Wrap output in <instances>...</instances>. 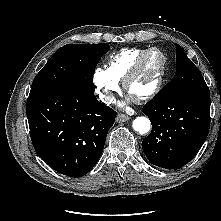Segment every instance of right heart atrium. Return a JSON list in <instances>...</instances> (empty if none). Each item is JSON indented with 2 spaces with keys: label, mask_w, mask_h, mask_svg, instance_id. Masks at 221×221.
I'll use <instances>...</instances> for the list:
<instances>
[{
  "label": "right heart atrium",
  "mask_w": 221,
  "mask_h": 221,
  "mask_svg": "<svg viewBox=\"0 0 221 221\" xmlns=\"http://www.w3.org/2000/svg\"><path fill=\"white\" fill-rule=\"evenodd\" d=\"M93 83L99 98L106 104L113 101L114 93L119 90V80H117L108 68L98 67L93 74Z\"/></svg>",
  "instance_id": "obj_1"
}]
</instances>
